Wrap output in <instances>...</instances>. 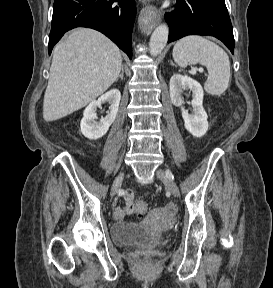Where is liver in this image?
Listing matches in <instances>:
<instances>
[{
	"mask_svg": "<svg viewBox=\"0 0 273 288\" xmlns=\"http://www.w3.org/2000/svg\"><path fill=\"white\" fill-rule=\"evenodd\" d=\"M121 68L120 50L105 35L88 28L73 30L53 51L44 120L56 121L94 101L116 81Z\"/></svg>",
	"mask_w": 273,
	"mask_h": 288,
	"instance_id": "6515ba94",
	"label": "liver"
}]
</instances>
